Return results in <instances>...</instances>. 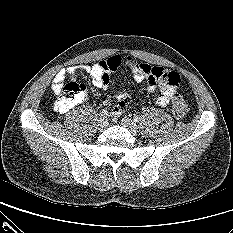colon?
I'll use <instances>...</instances> for the list:
<instances>
[{"mask_svg": "<svg viewBox=\"0 0 233 233\" xmlns=\"http://www.w3.org/2000/svg\"><path fill=\"white\" fill-rule=\"evenodd\" d=\"M60 97L55 102V108L59 112H66L79 104L85 96V87L82 84L71 82L63 86ZM171 110L176 118L184 117L189 111L187 101L180 95L174 96Z\"/></svg>", "mask_w": 233, "mask_h": 233, "instance_id": "1", "label": "colon"}]
</instances>
